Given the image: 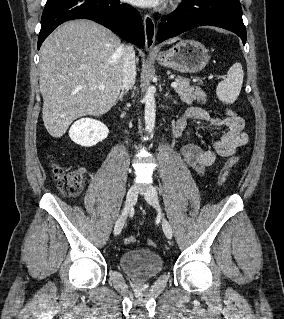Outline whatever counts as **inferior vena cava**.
<instances>
[{"label":"inferior vena cava","instance_id":"602c4592","mask_svg":"<svg viewBox=\"0 0 284 319\" xmlns=\"http://www.w3.org/2000/svg\"><path fill=\"white\" fill-rule=\"evenodd\" d=\"M123 51L122 88L129 90L133 87L136 77L135 52L131 45H123Z\"/></svg>","mask_w":284,"mask_h":319}]
</instances>
